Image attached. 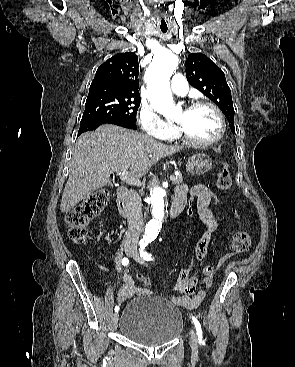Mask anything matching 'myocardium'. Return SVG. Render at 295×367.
Segmentation results:
<instances>
[{
	"instance_id": "obj_1",
	"label": "myocardium",
	"mask_w": 295,
	"mask_h": 367,
	"mask_svg": "<svg viewBox=\"0 0 295 367\" xmlns=\"http://www.w3.org/2000/svg\"><path fill=\"white\" fill-rule=\"evenodd\" d=\"M202 106H206L211 108L215 114L217 115L218 119H219V123H220V130L219 133L216 135V137L210 139V140H205V141H201V140H197L195 138H193L191 135H189L180 125L177 126V130H178V134L189 144L193 145V146H198V147H207V146H212L216 143H218L225 135L226 133V121H225V117L222 113V111L219 109V107L217 105H215L214 103L207 101V100H197L192 102L187 109H195L198 107H202Z\"/></svg>"
}]
</instances>
